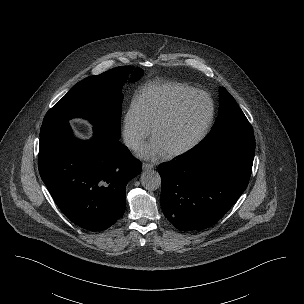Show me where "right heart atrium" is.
<instances>
[{
  "label": "right heart atrium",
  "mask_w": 304,
  "mask_h": 304,
  "mask_svg": "<svg viewBox=\"0 0 304 304\" xmlns=\"http://www.w3.org/2000/svg\"><path fill=\"white\" fill-rule=\"evenodd\" d=\"M125 144L128 148L137 149L150 135L151 126L145 119L137 100L127 108L122 124Z\"/></svg>",
  "instance_id": "d8ad5b80"
}]
</instances>
